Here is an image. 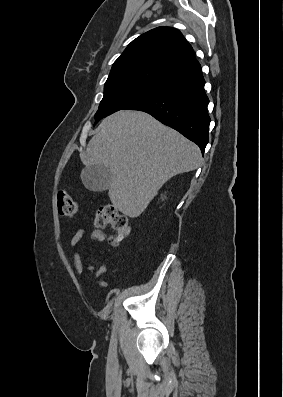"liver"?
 Returning <instances> with one entry per match:
<instances>
[{
	"label": "liver",
	"mask_w": 283,
	"mask_h": 397,
	"mask_svg": "<svg viewBox=\"0 0 283 397\" xmlns=\"http://www.w3.org/2000/svg\"><path fill=\"white\" fill-rule=\"evenodd\" d=\"M80 158L86 166L109 167V198L131 218L141 215L167 180L202 162L196 144L151 115L130 110L105 118Z\"/></svg>",
	"instance_id": "6515ba94"
}]
</instances>
